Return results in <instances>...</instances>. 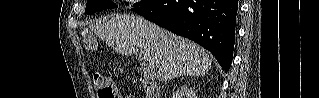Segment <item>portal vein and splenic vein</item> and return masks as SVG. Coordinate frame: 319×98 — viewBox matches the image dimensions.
<instances>
[{"instance_id": "1", "label": "portal vein and splenic vein", "mask_w": 319, "mask_h": 98, "mask_svg": "<svg viewBox=\"0 0 319 98\" xmlns=\"http://www.w3.org/2000/svg\"><path fill=\"white\" fill-rule=\"evenodd\" d=\"M140 54L143 55V58L149 62L150 65H155V61L151 58L150 53L147 50H140Z\"/></svg>"}]
</instances>
